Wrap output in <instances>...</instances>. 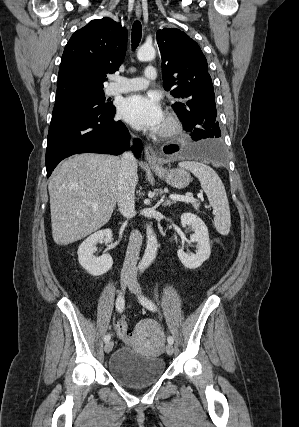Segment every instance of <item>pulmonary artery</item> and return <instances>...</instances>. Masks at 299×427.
<instances>
[{
  "label": "pulmonary artery",
  "instance_id": "obj_1",
  "mask_svg": "<svg viewBox=\"0 0 299 427\" xmlns=\"http://www.w3.org/2000/svg\"><path fill=\"white\" fill-rule=\"evenodd\" d=\"M157 77V70L154 66L148 65L144 70V75L140 77L114 76V82L109 88V94L115 95L145 89L150 81Z\"/></svg>",
  "mask_w": 299,
  "mask_h": 427
}]
</instances>
